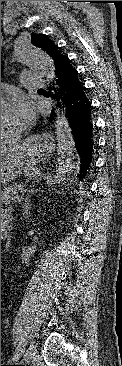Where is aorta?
<instances>
[{
    "instance_id": "obj_1",
    "label": "aorta",
    "mask_w": 122,
    "mask_h": 366,
    "mask_svg": "<svg viewBox=\"0 0 122 366\" xmlns=\"http://www.w3.org/2000/svg\"><path fill=\"white\" fill-rule=\"evenodd\" d=\"M15 60L31 70L38 71L43 77L57 87L56 67L54 60L41 48L31 44H17L14 48ZM55 136L57 142V159L55 169L58 180L64 179L67 172L75 166V142L66 116V110L60 105L55 110Z\"/></svg>"
}]
</instances>
